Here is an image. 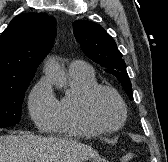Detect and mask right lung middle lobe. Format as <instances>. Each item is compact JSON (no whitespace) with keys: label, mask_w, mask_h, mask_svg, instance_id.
Returning <instances> with one entry per match:
<instances>
[{"label":"right lung middle lobe","mask_w":168,"mask_h":162,"mask_svg":"<svg viewBox=\"0 0 168 162\" xmlns=\"http://www.w3.org/2000/svg\"><path fill=\"white\" fill-rule=\"evenodd\" d=\"M32 79H20L0 84V128L19 123L22 102Z\"/></svg>","instance_id":"1"}]
</instances>
